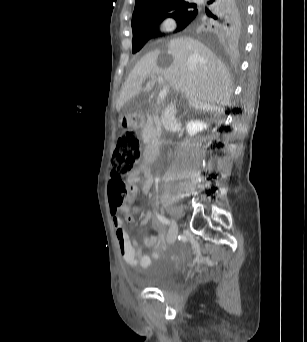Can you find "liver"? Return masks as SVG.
<instances>
[{
	"label": "liver",
	"instance_id": "6515ba94",
	"mask_svg": "<svg viewBox=\"0 0 307 342\" xmlns=\"http://www.w3.org/2000/svg\"><path fill=\"white\" fill-rule=\"evenodd\" d=\"M156 49L145 54L126 78L117 100V112L140 92H151L156 74H162L176 92H181L190 108L217 110L216 104L229 106L233 92L231 76L204 44L193 38H175L169 44H157ZM147 78L150 80L142 88Z\"/></svg>",
	"mask_w": 307,
	"mask_h": 342
}]
</instances>
